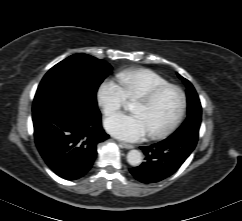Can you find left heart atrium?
Wrapping results in <instances>:
<instances>
[{
	"mask_svg": "<svg viewBox=\"0 0 242 221\" xmlns=\"http://www.w3.org/2000/svg\"><path fill=\"white\" fill-rule=\"evenodd\" d=\"M104 127L114 137L134 142L148 134L147 126L142 117L136 114H115L104 121Z\"/></svg>",
	"mask_w": 242,
	"mask_h": 221,
	"instance_id": "left-heart-atrium-1",
	"label": "left heart atrium"
}]
</instances>
